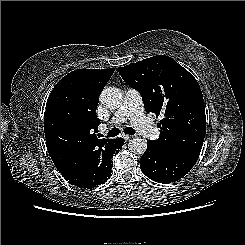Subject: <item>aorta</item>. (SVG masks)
<instances>
[{
	"label": "aorta",
	"mask_w": 245,
	"mask_h": 245,
	"mask_svg": "<svg viewBox=\"0 0 245 245\" xmlns=\"http://www.w3.org/2000/svg\"><path fill=\"white\" fill-rule=\"evenodd\" d=\"M123 96L121 91L115 87H107L103 89L100 95V102L108 109H117L121 106ZM147 143L144 139L135 137L128 143V149L134 154H144Z\"/></svg>",
	"instance_id": "762f6f07"
}]
</instances>
